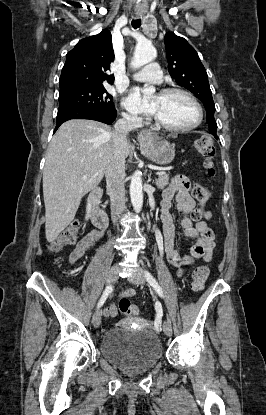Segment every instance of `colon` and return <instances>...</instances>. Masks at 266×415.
I'll use <instances>...</instances> for the list:
<instances>
[{
	"instance_id": "5ec220e1",
	"label": "colon",
	"mask_w": 266,
	"mask_h": 415,
	"mask_svg": "<svg viewBox=\"0 0 266 415\" xmlns=\"http://www.w3.org/2000/svg\"><path fill=\"white\" fill-rule=\"evenodd\" d=\"M195 150L205 159L204 167L209 175L214 174L212 159L215 153L214 142L211 137H202L194 144ZM193 195L199 202V208L194 212L195 219H208L209 212L205 210L204 206L209 199V191L200 184H196L193 189ZM80 231L79 221H73L66 227L60 235L51 243V250L54 252L60 251L63 247L75 244ZM209 275V269L205 265H198L194 268L191 275V288L193 291H200ZM119 309L123 315L135 316L138 314V307L127 298H121L119 301Z\"/></svg>"
}]
</instances>
